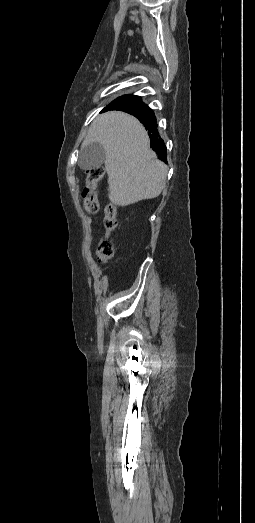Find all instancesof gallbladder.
Instances as JSON below:
<instances>
[{
	"mask_svg": "<svg viewBox=\"0 0 255 523\" xmlns=\"http://www.w3.org/2000/svg\"><path fill=\"white\" fill-rule=\"evenodd\" d=\"M106 158V150L99 142H92L85 148H82L78 156V166L81 170H93V168H100L104 164Z\"/></svg>",
	"mask_w": 255,
	"mask_h": 523,
	"instance_id": "bac80fb5",
	"label": "gallbladder"
}]
</instances>
